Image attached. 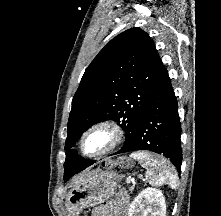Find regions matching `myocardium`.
I'll return each mask as SVG.
<instances>
[{
  "label": "myocardium",
  "instance_id": "myocardium-1",
  "mask_svg": "<svg viewBox=\"0 0 221 216\" xmlns=\"http://www.w3.org/2000/svg\"><path fill=\"white\" fill-rule=\"evenodd\" d=\"M96 133L105 134L107 137L106 143L99 150L92 153H88L85 151V143L90 136ZM124 134L125 133L123 128L115 121H98L91 125L81 136L79 142L80 151L86 157H100L113 151L116 147H118L124 139Z\"/></svg>",
  "mask_w": 221,
  "mask_h": 216
}]
</instances>
